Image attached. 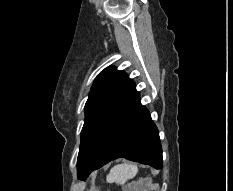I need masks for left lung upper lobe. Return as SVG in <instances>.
I'll list each match as a JSON object with an SVG mask.
<instances>
[{
    "instance_id": "1",
    "label": "left lung upper lobe",
    "mask_w": 233,
    "mask_h": 191,
    "mask_svg": "<svg viewBox=\"0 0 233 191\" xmlns=\"http://www.w3.org/2000/svg\"><path fill=\"white\" fill-rule=\"evenodd\" d=\"M134 91V81L125 72L114 67H107L97 76L84 108L85 121L81 132L78 171L103 130Z\"/></svg>"
}]
</instances>
